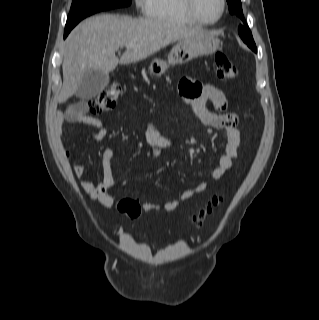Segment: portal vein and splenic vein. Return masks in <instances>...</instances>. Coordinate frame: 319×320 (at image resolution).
Here are the masks:
<instances>
[{
  "label": "portal vein and splenic vein",
  "instance_id": "1",
  "mask_svg": "<svg viewBox=\"0 0 319 320\" xmlns=\"http://www.w3.org/2000/svg\"><path fill=\"white\" fill-rule=\"evenodd\" d=\"M133 47V45H129V46H127V48L129 49V48H132Z\"/></svg>",
  "mask_w": 319,
  "mask_h": 320
}]
</instances>
